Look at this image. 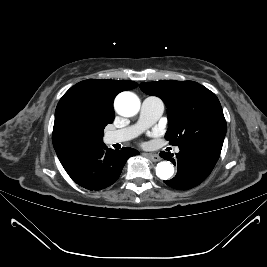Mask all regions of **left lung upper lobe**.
I'll use <instances>...</instances> for the list:
<instances>
[{"label": "left lung upper lobe", "instance_id": "left-lung-upper-lobe-1", "mask_svg": "<svg viewBox=\"0 0 267 267\" xmlns=\"http://www.w3.org/2000/svg\"><path fill=\"white\" fill-rule=\"evenodd\" d=\"M148 95L160 97L167 107L165 138L178 147L207 145L222 149L226 121L216 95L194 81L161 80L141 83Z\"/></svg>", "mask_w": 267, "mask_h": 267}]
</instances>
